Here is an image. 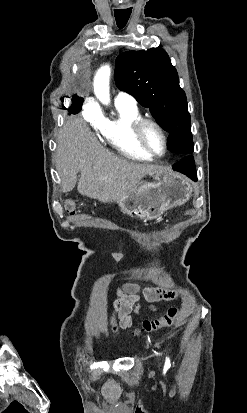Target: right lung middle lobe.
Here are the masks:
<instances>
[{"label": "right lung middle lobe", "mask_w": 247, "mask_h": 413, "mask_svg": "<svg viewBox=\"0 0 247 413\" xmlns=\"http://www.w3.org/2000/svg\"><path fill=\"white\" fill-rule=\"evenodd\" d=\"M72 100L73 104L69 107L68 111L76 114L81 110L83 99L77 97V95H74Z\"/></svg>", "instance_id": "obj_1"}]
</instances>
